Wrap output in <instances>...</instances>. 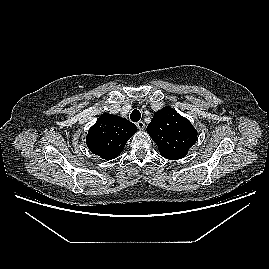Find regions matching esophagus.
<instances>
[{
  "label": "esophagus",
  "instance_id": "1",
  "mask_svg": "<svg viewBox=\"0 0 269 269\" xmlns=\"http://www.w3.org/2000/svg\"><path fill=\"white\" fill-rule=\"evenodd\" d=\"M136 126L139 130H144L145 129V123L143 121H139L136 123Z\"/></svg>",
  "mask_w": 269,
  "mask_h": 269
}]
</instances>
